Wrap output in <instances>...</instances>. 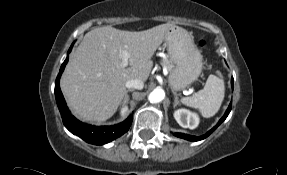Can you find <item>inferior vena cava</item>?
<instances>
[{"instance_id":"1","label":"inferior vena cava","mask_w":287,"mask_h":175,"mask_svg":"<svg viewBox=\"0 0 287 175\" xmlns=\"http://www.w3.org/2000/svg\"><path fill=\"white\" fill-rule=\"evenodd\" d=\"M125 86L129 89L134 88L141 90L144 87V83L140 79H131L126 82Z\"/></svg>"}]
</instances>
